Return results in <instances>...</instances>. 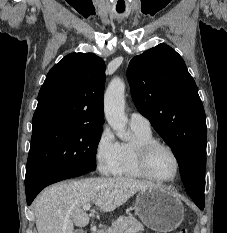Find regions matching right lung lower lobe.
I'll return each instance as SVG.
<instances>
[{"instance_id": "98d812e1", "label": "right lung lower lobe", "mask_w": 227, "mask_h": 233, "mask_svg": "<svg viewBox=\"0 0 227 233\" xmlns=\"http://www.w3.org/2000/svg\"><path fill=\"white\" fill-rule=\"evenodd\" d=\"M88 172L86 170L67 169L39 175L34 180L25 183L27 204L30 205L37 194L46 186L64 179L81 176Z\"/></svg>"}]
</instances>
